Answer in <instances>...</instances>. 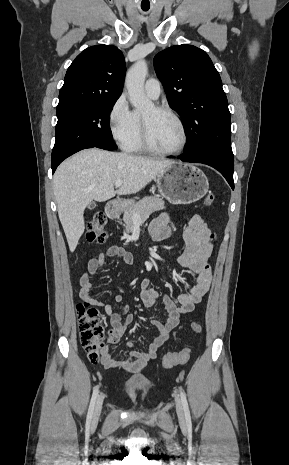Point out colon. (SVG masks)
<instances>
[{
    "mask_svg": "<svg viewBox=\"0 0 289 465\" xmlns=\"http://www.w3.org/2000/svg\"><path fill=\"white\" fill-rule=\"evenodd\" d=\"M215 201V195L209 193L204 198V204L210 206ZM106 217L103 213L99 212L94 215L88 224L87 240L93 243H103L106 240L107 234L105 230ZM214 235H211V240ZM77 317L79 323V335L82 348L87 353L89 359L97 362L101 359V350L103 349V339L105 337V327L101 323L98 311L91 306L89 302L79 303L76 307ZM191 330L194 333H201L202 327L199 323L193 322ZM191 351L185 348L178 352H170L164 355L162 359V366L164 368H171L176 365L184 364L190 358Z\"/></svg>",
    "mask_w": 289,
    "mask_h": 465,
    "instance_id": "5ec220e1",
    "label": "colon"
}]
</instances>
